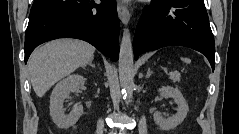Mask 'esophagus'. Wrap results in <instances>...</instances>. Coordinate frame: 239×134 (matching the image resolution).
<instances>
[{
	"label": "esophagus",
	"mask_w": 239,
	"mask_h": 134,
	"mask_svg": "<svg viewBox=\"0 0 239 134\" xmlns=\"http://www.w3.org/2000/svg\"><path fill=\"white\" fill-rule=\"evenodd\" d=\"M117 13H118L119 19L123 23H127L129 21L130 15H129L128 9L121 2H118V4H117Z\"/></svg>",
	"instance_id": "esophagus-1"
}]
</instances>
